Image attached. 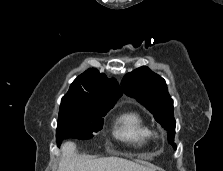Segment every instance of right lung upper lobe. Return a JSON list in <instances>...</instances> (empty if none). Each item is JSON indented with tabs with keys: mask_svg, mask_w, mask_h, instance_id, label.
I'll use <instances>...</instances> for the list:
<instances>
[{
	"mask_svg": "<svg viewBox=\"0 0 223 171\" xmlns=\"http://www.w3.org/2000/svg\"><path fill=\"white\" fill-rule=\"evenodd\" d=\"M122 95L115 79L91 68L77 77L61 100V105L114 106Z\"/></svg>",
	"mask_w": 223,
	"mask_h": 171,
	"instance_id": "cb5924a9",
	"label": "right lung upper lobe"
}]
</instances>
